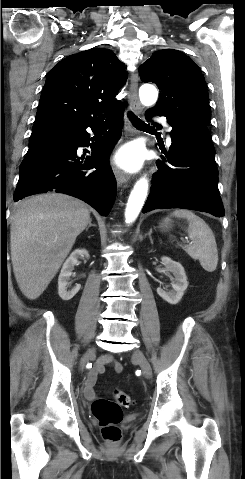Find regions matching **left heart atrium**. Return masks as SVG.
Listing matches in <instances>:
<instances>
[{
    "instance_id": "1",
    "label": "left heart atrium",
    "mask_w": 245,
    "mask_h": 479,
    "mask_svg": "<svg viewBox=\"0 0 245 479\" xmlns=\"http://www.w3.org/2000/svg\"><path fill=\"white\" fill-rule=\"evenodd\" d=\"M142 162V152L134 145L124 147L116 156V163L129 171H135L139 169L142 165Z\"/></svg>"
}]
</instances>
